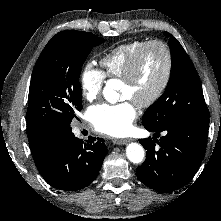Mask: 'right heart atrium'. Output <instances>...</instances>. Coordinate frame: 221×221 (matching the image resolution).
Wrapping results in <instances>:
<instances>
[{
	"label": "right heart atrium",
	"mask_w": 221,
	"mask_h": 221,
	"mask_svg": "<svg viewBox=\"0 0 221 221\" xmlns=\"http://www.w3.org/2000/svg\"><path fill=\"white\" fill-rule=\"evenodd\" d=\"M105 83L104 73L94 67L91 63H86L80 74V90L82 97L92 102L96 100L101 92Z\"/></svg>",
	"instance_id": "right-heart-atrium-1"
}]
</instances>
